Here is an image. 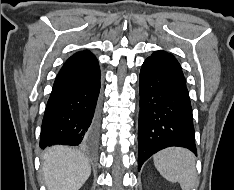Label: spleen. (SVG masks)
<instances>
[{
  "instance_id": "1",
  "label": "spleen",
  "mask_w": 234,
  "mask_h": 190,
  "mask_svg": "<svg viewBox=\"0 0 234 190\" xmlns=\"http://www.w3.org/2000/svg\"><path fill=\"white\" fill-rule=\"evenodd\" d=\"M154 165L166 180L178 182L182 190H192L196 182L194 154L184 148L170 147L153 157Z\"/></svg>"
}]
</instances>
